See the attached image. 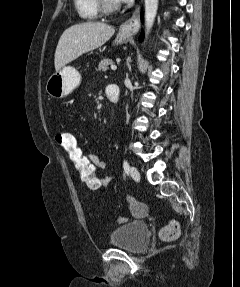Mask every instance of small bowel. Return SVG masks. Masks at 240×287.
Returning <instances> with one entry per match:
<instances>
[{"instance_id":"small-bowel-1","label":"small bowel","mask_w":240,"mask_h":287,"mask_svg":"<svg viewBox=\"0 0 240 287\" xmlns=\"http://www.w3.org/2000/svg\"><path fill=\"white\" fill-rule=\"evenodd\" d=\"M90 161L96 166L97 169H104L106 167V162L101 157L96 154L87 153ZM114 181V176L109 175L102 177V186H109ZM127 203L130 207V210L134 215H137L139 212L145 213L147 211V206L135 199L133 196H127Z\"/></svg>"}]
</instances>
